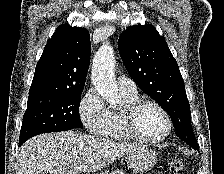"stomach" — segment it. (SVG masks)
Listing matches in <instances>:
<instances>
[{"mask_svg": "<svg viewBox=\"0 0 224 174\" xmlns=\"http://www.w3.org/2000/svg\"><path fill=\"white\" fill-rule=\"evenodd\" d=\"M126 162L128 167L134 172L143 174L154 167L157 162V154L147 146H139L127 154ZM101 174H109V172L105 171Z\"/></svg>", "mask_w": 224, "mask_h": 174, "instance_id": "stomach-1", "label": "stomach"}]
</instances>
